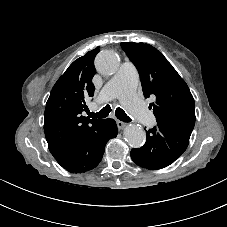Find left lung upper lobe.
<instances>
[{"label": "left lung upper lobe", "instance_id": "5c2ea615", "mask_svg": "<svg viewBox=\"0 0 227 227\" xmlns=\"http://www.w3.org/2000/svg\"><path fill=\"white\" fill-rule=\"evenodd\" d=\"M121 47L139 72L145 98L156 97L149 108L153 109L157 123L191 135L195 103L185 81L153 46L123 42Z\"/></svg>", "mask_w": 227, "mask_h": 227}]
</instances>
